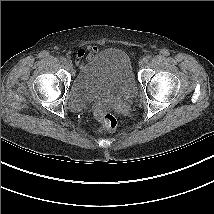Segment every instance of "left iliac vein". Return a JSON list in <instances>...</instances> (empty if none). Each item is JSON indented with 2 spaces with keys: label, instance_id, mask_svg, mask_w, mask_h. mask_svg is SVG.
Here are the masks:
<instances>
[{
  "label": "left iliac vein",
  "instance_id": "left-iliac-vein-1",
  "mask_svg": "<svg viewBox=\"0 0 214 214\" xmlns=\"http://www.w3.org/2000/svg\"><path fill=\"white\" fill-rule=\"evenodd\" d=\"M145 63H146L145 59H141V60L139 61V66H140V67H144Z\"/></svg>",
  "mask_w": 214,
  "mask_h": 214
}]
</instances>
